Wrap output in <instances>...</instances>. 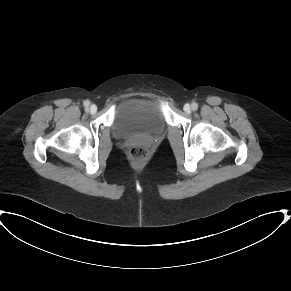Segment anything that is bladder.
Listing matches in <instances>:
<instances>
[{
    "mask_svg": "<svg viewBox=\"0 0 291 291\" xmlns=\"http://www.w3.org/2000/svg\"><path fill=\"white\" fill-rule=\"evenodd\" d=\"M165 118L155 102L145 98L127 99L114 113L111 129L119 140L153 137L164 132Z\"/></svg>",
    "mask_w": 291,
    "mask_h": 291,
    "instance_id": "31cf9c89",
    "label": "bladder"
}]
</instances>
